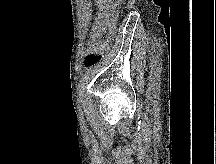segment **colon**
Returning <instances> with one entry per match:
<instances>
[{"instance_id":"1","label":"colon","mask_w":216,"mask_h":164,"mask_svg":"<svg viewBox=\"0 0 216 164\" xmlns=\"http://www.w3.org/2000/svg\"><path fill=\"white\" fill-rule=\"evenodd\" d=\"M112 22L116 19V14L113 13ZM90 47L85 57V66L93 68L98 65L107 53V42L101 39V33H94L90 39Z\"/></svg>"}]
</instances>
